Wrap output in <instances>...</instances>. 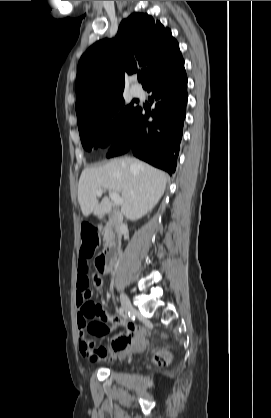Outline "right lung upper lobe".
I'll return each instance as SVG.
<instances>
[{
	"instance_id": "obj_1",
	"label": "right lung upper lobe",
	"mask_w": 271,
	"mask_h": 418,
	"mask_svg": "<svg viewBox=\"0 0 271 418\" xmlns=\"http://www.w3.org/2000/svg\"><path fill=\"white\" fill-rule=\"evenodd\" d=\"M183 60L171 30L146 13L124 19L118 37L93 44L78 63L77 117L123 94L124 76L141 73L144 89Z\"/></svg>"
}]
</instances>
